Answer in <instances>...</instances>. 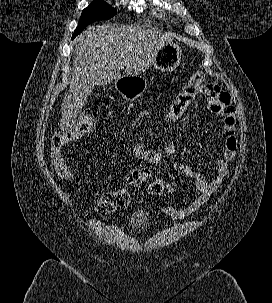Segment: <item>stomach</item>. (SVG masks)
Segmentation results:
<instances>
[{"label": "stomach", "instance_id": "1", "mask_svg": "<svg viewBox=\"0 0 272 303\" xmlns=\"http://www.w3.org/2000/svg\"><path fill=\"white\" fill-rule=\"evenodd\" d=\"M181 54L179 45L167 43L157 52L153 64L161 72L173 71L180 64ZM115 87L125 99L134 100L142 95L145 86L141 77H124L116 81Z\"/></svg>", "mask_w": 272, "mask_h": 303}]
</instances>
